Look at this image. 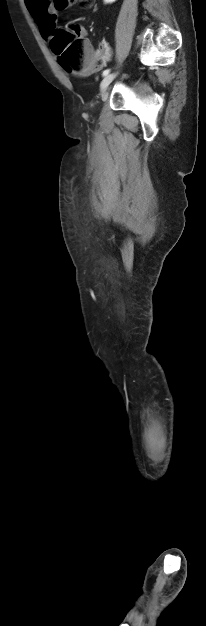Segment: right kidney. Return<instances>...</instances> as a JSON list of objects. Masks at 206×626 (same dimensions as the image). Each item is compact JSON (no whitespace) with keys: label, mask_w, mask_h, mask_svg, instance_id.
<instances>
[{"label":"right kidney","mask_w":206,"mask_h":626,"mask_svg":"<svg viewBox=\"0 0 206 626\" xmlns=\"http://www.w3.org/2000/svg\"><path fill=\"white\" fill-rule=\"evenodd\" d=\"M103 1H104L105 4H109V3L115 2L116 0H103Z\"/></svg>","instance_id":"1"}]
</instances>
